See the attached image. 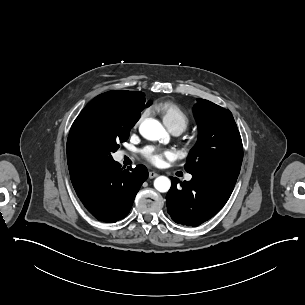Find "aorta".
<instances>
[{
  "label": "aorta",
  "mask_w": 305,
  "mask_h": 305,
  "mask_svg": "<svg viewBox=\"0 0 305 305\" xmlns=\"http://www.w3.org/2000/svg\"><path fill=\"white\" fill-rule=\"evenodd\" d=\"M140 134L147 140L156 141L166 136V131L162 124L153 118L145 119L139 127ZM154 187L157 191L165 193L171 187V181L166 176H159L154 180Z\"/></svg>",
  "instance_id": "obj_1"
}]
</instances>
